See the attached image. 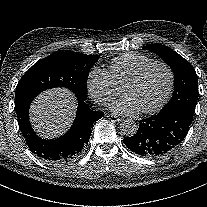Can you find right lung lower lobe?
<instances>
[{
	"instance_id": "obj_1",
	"label": "right lung lower lobe",
	"mask_w": 207,
	"mask_h": 207,
	"mask_svg": "<svg viewBox=\"0 0 207 207\" xmlns=\"http://www.w3.org/2000/svg\"><path fill=\"white\" fill-rule=\"evenodd\" d=\"M29 107L30 103H27L15 108L19 128L31 152L55 165L66 164L81 155L95 122L104 115L103 112L91 110L85 99H78L76 118L69 131L59 138L46 140L33 131L29 121Z\"/></svg>"
}]
</instances>
